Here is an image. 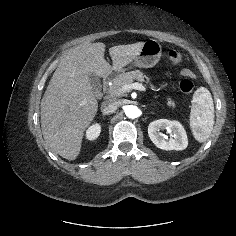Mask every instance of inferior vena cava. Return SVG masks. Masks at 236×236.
<instances>
[{"label": "inferior vena cava", "instance_id": "inferior-vena-cava-1", "mask_svg": "<svg viewBox=\"0 0 236 236\" xmlns=\"http://www.w3.org/2000/svg\"><path fill=\"white\" fill-rule=\"evenodd\" d=\"M120 105V102L114 98H110L102 102L101 104V112L104 115H109L114 113Z\"/></svg>", "mask_w": 236, "mask_h": 236}]
</instances>
